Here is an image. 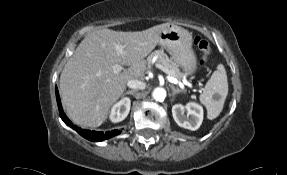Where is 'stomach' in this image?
<instances>
[{"label": "stomach", "mask_w": 287, "mask_h": 175, "mask_svg": "<svg viewBox=\"0 0 287 175\" xmlns=\"http://www.w3.org/2000/svg\"><path fill=\"white\" fill-rule=\"evenodd\" d=\"M159 44L170 54L177 66L181 67L184 75H192L197 69V58L192 49V35L188 30L169 25L160 33Z\"/></svg>", "instance_id": "obj_1"}]
</instances>
